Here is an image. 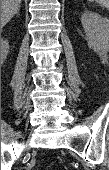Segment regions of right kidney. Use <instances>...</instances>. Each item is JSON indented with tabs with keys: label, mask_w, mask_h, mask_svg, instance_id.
Segmentation results:
<instances>
[{
	"label": "right kidney",
	"mask_w": 109,
	"mask_h": 170,
	"mask_svg": "<svg viewBox=\"0 0 109 170\" xmlns=\"http://www.w3.org/2000/svg\"><path fill=\"white\" fill-rule=\"evenodd\" d=\"M8 52H9V43H8V41L3 40L1 42V58H2V61H4L6 59Z\"/></svg>",
	"instance_id": "obj_1"
}]
</instances>
